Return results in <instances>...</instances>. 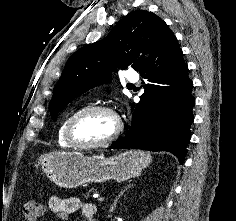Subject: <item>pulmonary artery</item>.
<instances>
[{
	"label": "pulmonary artery",
	"mask_w": 236,
	"mask_h": 221,
	"mask_svg": "<svg viewBox=\"0 0 236 221\" xmlns=\"http://www.w3.org/2000/svg\"><path fill=\"white\" fill-rule=\"evenodd\" d=\"M126 78L129 82H132V83H135L138 81V75H134L132 73H128Z\"/></svg>",
	"instance_id": "obj_1"
}]
</instances>
